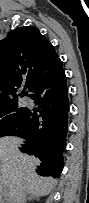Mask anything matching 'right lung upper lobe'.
<instances>
[{"instance_id":"1","label":"right lung upper lobe","mask_w":89,"mask_h":203,"mask_svg":"<svg viewBox=\"0 0 89 203\" xmlns=\"http://www.w3.org/2000/svg\"><path fill=\"white\" fill-rule=\"evenodd\" d=\"M62 65L53 45L31 26L17 28L0 41V105L26 96L36 81Z\"/></svg>"}]
</instances>
